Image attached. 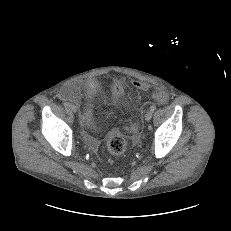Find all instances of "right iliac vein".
Here are the masks:
<instances>
[{
    "mask_svg": "<svg viewBox=\"0 0 231 231\" xmlns=\"http://www.w3.org/2000/svg\"><path fill=\"white\" fill-rule=\"evenodd\" d=\"M69 109L72 111V112H74V113H76L77 112V107L74 105V104H69Z\"/></svg>",
    "mask_w": 231,
    "mask_h": 231,
    "instance_id": "obj_1",
    "label": "right iliac vein"
}]
</instances>
